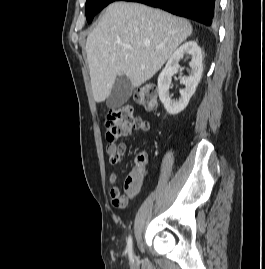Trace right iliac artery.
Segmentation results:
<instances>
[{"label":"right iliac artery","mask_w":265,"mask_h":269,"mask_svg":"<svg viewBox=\"0 0 265 269\" xmlns=\"http://www.w3.org/2000/svg\"><path fill=\"white\" fill-rule=\"evenodd\" d=\"M127 252H128V255H129V258L131 261H133V252H132V237L129 236L128 237V240H127Z\"/></svg>","instance_id":"obj_1"}]
</instances>
